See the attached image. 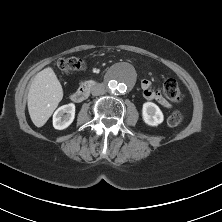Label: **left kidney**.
<instances>
[{"mask_svg": "<svg viewBox=\"0 0 222 222\" xmlns=\"http://www.w3.org/2000/svg\"><path fill=\"white\" fill-rule=\"evenodd\" d=\"M142 117L144 122L150 126H157L164 120L162 111L153 102H145L143 104Z\"/></svg>", "mask_w": 222, "mask_h": 222, "instance_id": "left-kidney-1", "label": "left kidney"}]
</instances>
